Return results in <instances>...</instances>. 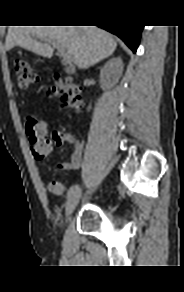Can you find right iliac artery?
Instances as JSON below:
<instances>
[{"label": "right iliac artery", "instance_id": "right-iliac-artery-1", "mask_svg": "<svg viewBox=\"0 0 184 292\" xmlns=\"http://www.w3.org/2000/svg\"><path fill=\"white\" fill-rule=\"evenodd\" d=\"M79 186L78 185H75V186H72L68 192H67V198H69L71 195H73L74 193H76L77 191H79Z\"/></svg>", "mask_w": 184, "mask_h": 292}]
</instances>
